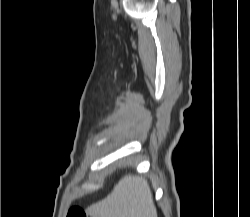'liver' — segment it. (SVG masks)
<instances>
[{
    "instance_id": "1",
    "label": "liver",
    "mask_w": 250,
    "mask_h": 217,
    "mask_svg": "<svg viewBox=\"0 0 250 217\" xmlns=\"http://www.w3.org/2000/svg\"><path fill=\"white\" fill-rule=\"evenodd\" d=\"M91 217H157L147 180L125 175L103 200L86 209Z\"/></svg>"
}]
</instances>
